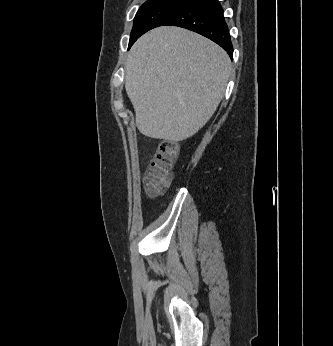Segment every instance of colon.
<instances>
[{"mask_svg": "<svg viewBox=\"0 0 333 346\" xmlns=\"http://www.w3.org/2000/svg\"><path fill=\"white\" fill-rule=\"evenodd\" d=\"M179 154V147L172 141H162L145 174V190L149 197L160 196L167 188L172 169Z\"/></svg>", "mask_w": 333, "mask_h": 346, "instance_id": "colon-1", "label": "colon"}]
</instances>
